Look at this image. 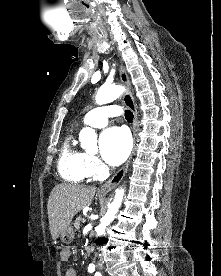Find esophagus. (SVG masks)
<instances>
[{"label": "esophagus", "mask_w": 221, "mask_h": 276, "mask_svg": "<svg viewBox=\"0 0 221 276\" xmlns=\"http://www.w3.org/2000/svg\"><path fill=\"white\" fill-rule=\"evenodd\" d=\"M119 75H120V79H121L122 83L126 87V92L124 94L123 101H124L125 105L132 111V113L134 115L132 130H133L134 140L136 143L137 121H138L137 108H136L134 99L132 97L130 81H129L128 75L126 73V70H125L123 64L119 65ZM134 150H135V148H134ZM133 153H134V151H133ZM133 153L131 154L129 159L126 161V163L122 166V168L110 180H108L104 185L101 186V188H100L101 193H108L109 191L114 189L121 182V180L123 179V177L125 176V174L127 172V169H128V166H129V163H130Z\"/></svg>", "instance_id": "34e87169"}]
</instances>
